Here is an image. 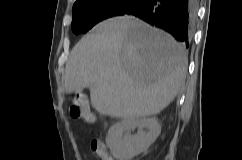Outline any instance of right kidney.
I'll list each match as a JSON object with an SVG mask.
<instances>
[{
	"instance_id": "1",
	"label": "right kidney",
	"mask_w": 242,
	"mask_h": 160,
	"mask_svg": "<svg viewBox=\"0 0 242 160\" xmlns=\"http://www.w3.org/2000/svg\"><path fill=\"white\" fill-rule=\"evenodd\" d=\"M135 128H138L137 134L131 135V130ZM160 132L161 125L155 117L124 119L110 127L106 144L116 159L131 160L148 149Z\"/></svg>"
}]
</instances>
